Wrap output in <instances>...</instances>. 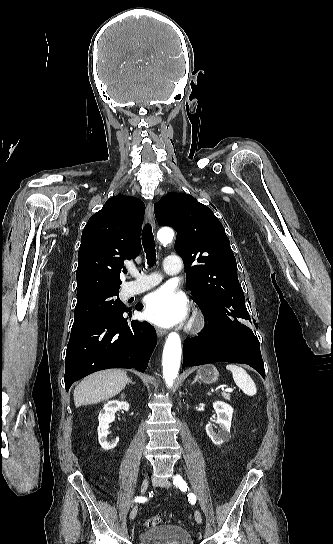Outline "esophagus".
Here are the masks:
<instances>
[{
	"instance_id": "1",
	"label": "esophagus",
	"mask_w": 333,
	"mask_h": 544,
	"mask_svg": "<svg viewBox=\"0 0 333 544\" xmlns=\"http://www.w3.org/2000/svg\"><path fill=\"white\" fill-rule=\"evenodd\" d=\"M146 214H147V219H148L149 223L151 224L152 228L154 229L155 228V218H154L153 203L151 201H149L148 204H147ZM156 333H157V335L159 337H162V336L166 335V330L161 329V328H156Z\"/></svg>"
}]
</instances>
